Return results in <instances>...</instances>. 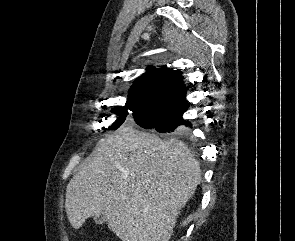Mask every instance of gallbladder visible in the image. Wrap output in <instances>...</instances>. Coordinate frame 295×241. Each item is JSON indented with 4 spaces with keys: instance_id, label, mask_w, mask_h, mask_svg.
<instances>
[{
    "instance_id": "1",
    "label": "gallbladder",
    "mask_w": 295,
    "mask_h": 241,
    "mask_svg": "<svg viewBox=\"0 0 295 241\" xmlns=\"http://www.w3.org/2000/svg\"><path fill=\"white\" fill-rule=\"evenodd\" d=\"M105 221H106V218L103 215L94 217V222L96 224H103Z\"/></svg>"
}]
</instances>
